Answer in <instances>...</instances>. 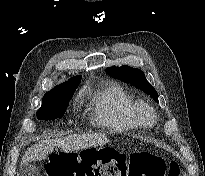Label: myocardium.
Instances as JSON below:
<instances>
[{"mask_svg":"<svg viewBox=\"0 0 205 176\" xmlns=\"http://www.w3.org/2000/svg\"><path fill=\"white\" fill-rule=\"evenodd\" d=\"M132 114L136 123L144 128L152 127L157 122V115L154 109L145 102H135Z\"/></svg>","mask_w":205,"mask_h":176,"instance_id":"1","label":"myocardium"}]
</instances>
